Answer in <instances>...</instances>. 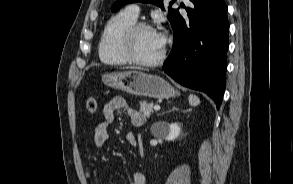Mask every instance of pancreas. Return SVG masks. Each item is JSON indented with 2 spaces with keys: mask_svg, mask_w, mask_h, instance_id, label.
<instances>
[{
  "mask_svg": "<svg viewBox=\"0 0 293 184\" xmlns=\"http://www.w3.org/2000/svg\"><path fill=\"white\" fill-rule=\"evenodd\" d=\"M140 112L143 113L144 116L150 117L153 114V103L147 101L140 102Z\"/></svg>",
  "mask_w": 293,
  "mask_h": 184,
  "instance_id": "pancreas-1",
  "label": "pancreas"
}]
</instances>
